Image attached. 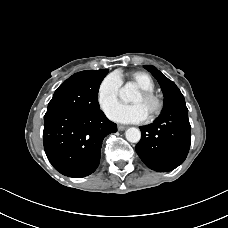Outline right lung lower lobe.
Wrapping results in <instances>:
<instances>
[{
  "label": "right lung lower lobe",
  "instance_id": "98d812e1",
  "mask_svg": "<svg viewBox=\"0 0 228 228\" xmlns=\"http://www.w3.org/2000/svg\"><path fill=\"white\" fill-rule=\"evenodd\" d=\"M116 131L117 125L100 109L95 112H46L44 149L58 172L69 177H85L99 165L105 136Z\"/></svg>",
  "mask_w": 228,
  "mask_h": 228
}]
</instances>
